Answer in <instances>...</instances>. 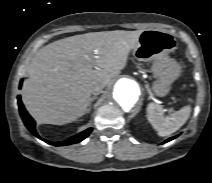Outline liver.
<instances>
[{"label":"liver","instance_id":"obj_1","mask_svg":"<svg viewBox=\"0 0 212 183\" xmlns=\"http://www.w3.org/2000/svg\"><path fill=\"white\" fill-rule=\"evenodd\" d=\"M143 31L91 32L42 47L23 83L27 111L41 124L64 125L83 116L93 88L108 85L126 67Z\"/></svg>","mask_w":212,"mask_h":183}]
</instances>
